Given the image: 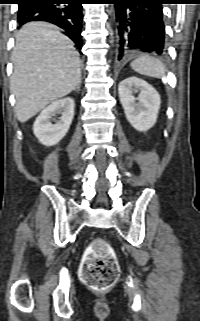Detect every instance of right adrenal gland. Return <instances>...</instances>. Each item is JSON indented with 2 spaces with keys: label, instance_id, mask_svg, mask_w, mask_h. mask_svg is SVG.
<instances>
[{
  "label": "right adrenal gland",
  "instance_id": "right-adrenal-gland-1",
  "mask_svg": "<svg viewBox=\"0 0 200 321\" xmlns=\"http://www.w3.org/2000/svg\"><path fill=\"white\" fill-rule=\"evenodd\" d=\"M80 87H81V81H80V83L77 85V87L74 89V91L80 92Z\"/></svg>",
  "mask_w": 200,
  "mask_h": 321
}]
</instances>
